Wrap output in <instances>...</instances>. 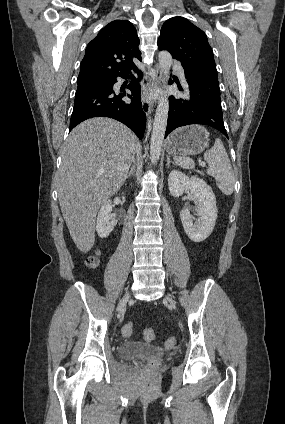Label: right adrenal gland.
I'll return each mask as SVG.
<instances>
[{
	"instance_id": "2a0ac1e0",
	"label": "right adrenal gland",
	"mask_w": 285,
	"mask_h": 424,
	"mask_svg": "<svg viewBox=\"0 0 285 424\" xmlns=\"http://www.w3.org/2000/svg\"><path fill=\"white\" fill-rule=\"evenodd\" d=\"M135 170H136V162H135V161H133V165H132V167H131L130 171L128 172V174H127V176H126V179H127V178H130L131 176H133V175H134V173H135Z\"/></svg>"
}]
</instances>
